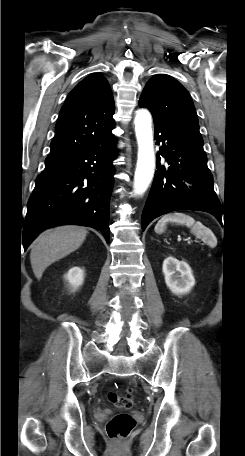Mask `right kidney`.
<instances>
[{
    "label": "right kidney",
    "instance_id": "obj_1",
    "mask_svg": "<svg viewBox=\"0 0 245 456\" xmlns=\"http://www.w3.org/2000/svg\"><path fill=\"white\" fill-rule=\"evenodd\" d=\"M64 277L74 289H77L84 281V271L79 267H73Z\"/></svg>",
    "mask_w": 245,
    "mask_h": 456
}]
</instances>
